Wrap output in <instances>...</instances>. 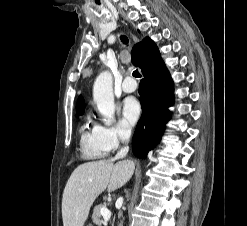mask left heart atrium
<instances>
[{"label": "left heart atrium", "mask_w": 247, "mask_h": 226, "mask_svg": "<svg viewBox=\"0 0 247 226\" xmlns=\"http://www.w3.org/2000/svg\"><path fill=\"white\" fill-rule=\"evenodd\" d=\"M140 105L134 98H128L123 103L122 115L127 125H134L140 115Z\"/></svg>", "instance_id": "obj_1"}]
</instances>
